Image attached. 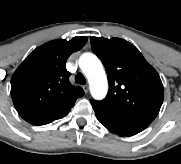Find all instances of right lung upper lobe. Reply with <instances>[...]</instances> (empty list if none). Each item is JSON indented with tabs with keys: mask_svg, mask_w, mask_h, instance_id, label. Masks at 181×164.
Wrapping results in <instances>:
<instances>
[{
	"mask_svg": "<svg viewBox=\"0 0 181 164\" xmlns=\"http://www.w3.org/2000/svg\"><path fill=\"white\" fill-rule=\"evenodd\" d=\"M87 42L84 36L70 41H50L32 51L11 79V97L19 115L33 125H45L67 115L77 98L66 70L68 57Z\"/></svg>",
	"mask_w": 181,
	"mask_h": 164,
	"instance_id": "cb5924a9",
	"label": "right lung upper lobe"
}]
</instances>
